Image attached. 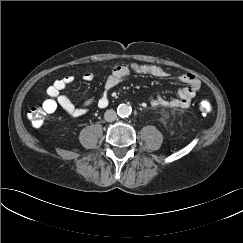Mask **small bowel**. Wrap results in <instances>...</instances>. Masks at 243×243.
I'll list each match as a JSON object with an SVG mask.
<instances>
[{"mask_svg": "<svg viewBox=\"0 0 243 243\" xmlns=\"http://www.w3.org/2000/svg\"><path fill=\"white\" fill-rule=\"evenodd\" d=\"M131 73L150 75L157 78H166L169 73L157 65H145L130 63L125 65H117L113 67L105 80L104 92L97 99L96 105L99 108H105L109 104V92L116 87L125 77ZM96 73L88 71L83 74V79L91 82L95 79ZM75 78L72 75L56 79L52 85L47 88V95L54 100L68 115L72 117H80L88 112L89 106L94 102L92 97L85 98L81 105H77L68 96L61 92L74 82ZM180 81L186 86L179 90L178 96L172 99H166L160 95H153L149 98V103L153 107L167 108H188L197 92L200 90L201 83L199 79L191 74L185 73L180 76Z\"/></svg>", "mask_w": 243, "mask_h": 243, "instance_id": "c3829d8e", "label": "small bowel"}]
</instances>
